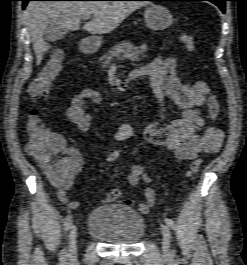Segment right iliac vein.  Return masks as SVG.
Segmentation results:
<instances>
[{"instance_id":"63e3f726","label":"right iliac vein","mask_w":247,"mask_h":265,"mask_svg":"<svg viewBox=\"0 0 247 265\" xmlns=\"http://www.w3.org/2000/svg\"><path fill=\"white\" fill-rule=\"evenodd\" d=\"M68 259L75 261L77 259V227L72 225L69 232Z\"/></svg>"}]
</instances>
